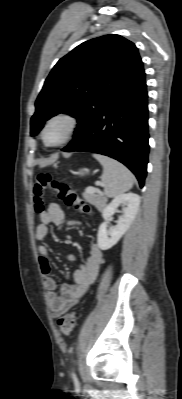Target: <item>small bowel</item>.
Masks as SVG:
<instances>
[{
    "label": "small bowel",
    "mask_w": 182,
    "mask_h": 399,
    "mask_svg": "<svg viewBox=\"0 0 182 399\" xmlns=\"http://www.w3.org/2000/svg\"><path fill=\"white\" fill-rule=\"evenodd\" d=\"M39 220L40 224L35 231L37 240H44L48 236L50 225L62 229L77 223L66 217L62 206L58 203H51L48 209L39 215ZM49 254L50 249L47 245L38 246L39 267L43 275L44 286L47 289L49 307L52 316L59 317L71 309L88 291L97 276L103 255L96 243L91 244L88 258L73 273L74 284H63L58 293L56 281L51 274L52 265ZM67 258L70 261H76L73 255H68Z\"/></svg>",
    "instance_id": "obj_1"
}]
</instances>
